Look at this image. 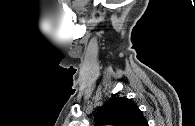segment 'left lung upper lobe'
Masks as SVG:
<instances>
[{"mask_svg":"<svg viewBox=\"0 0 195 126\" xmlns=\"http://www.w3.org/2000/svg\"><path fill=\"white\" fill-rule=\"evenodd\" d=\"M96 126L113 124L115 126H143L146 119L140 109L125 97H114L105 103L95 117Z\"/></svg>","mask_w":195,"mask_h":126,"instance_id":"1","label":"left lung upper lobe"}]
</instances>
